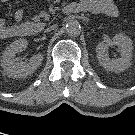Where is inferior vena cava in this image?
<instances>
[{"mask_svg":"<svg viewBox=\"0 0 135 135\" xmlns=\"http://www.w3.org/2000/svg\"><path fill=\"white\" fill-rule=\"evenodd\" d=\"M53 29H54V26H51L50 28H47V29L45 30V32L51 31V30H53Z\"/></svg>","mask_w":135,"mask_h":135,"instance_id":"obj_1","label":"inferior vena cava"}]
</instances>
